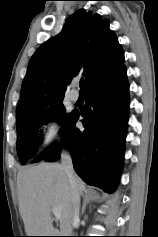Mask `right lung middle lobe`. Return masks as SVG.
I'll list each match as a JSON object with an SVG mask.
<instances>
[{"instance_id":"dd1d6c3e","label":"right lung middle lobe","mask_w":158,"mask_h":237,"mask_svg":"<svg viewBox=\"0 0 158 237\" xmlns=\"http://www.w3.org/2000/svg\"><path fill=\"white\" fill-rule=\"evenodd\" d=\"M64 112L65 107L62 100H60L49 104L36 115L16 119L17 137L19 138L16 146L21 164H26L37 153L41 142L38 132L45 123L50 122L52 119L63 120V123H65L72 115V113L64 115Z\"/></svg>"}]
</instances>
